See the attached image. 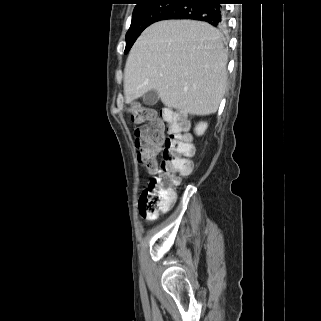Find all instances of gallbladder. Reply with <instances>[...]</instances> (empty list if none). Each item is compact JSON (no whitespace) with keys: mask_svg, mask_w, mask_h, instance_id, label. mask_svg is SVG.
Returning <instances> with one entry per match:
<instances>
[{"mask_svg":"<svg viewBox=\"0 0 321 321\" xmlns=\"http://www.w3.org/2000/svg\"><path fill=\"white\" fill-rule=\"evenodd\" d=\"M159 100V94L156 90H150L143 96V102L148 106L155 105Z\"/></svg>","mask_w":321,"mask_h":321,"instance_id":"obj_1","label":"gallbladder"}]
</instances>
